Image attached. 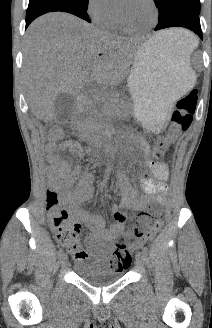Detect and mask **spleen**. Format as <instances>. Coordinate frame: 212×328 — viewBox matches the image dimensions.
I'll use <instances>...</instances> for the list:
<instances>
[{"label":"spleen","instance_id":"1","mask_svg":"<svg viewBox=\"0 0 212 328\" xmlns=\"http://www.w3.org/2000/svg\"><path fill=\"white\" fill-rule=\"evenodd\" d=\"M179 32L174 42L188 57H190L193 50L198 46L199 41L196 36L189 31L179 29Z\"/></svg>","mask_w":212,"mask_h":328}]
</instances>
